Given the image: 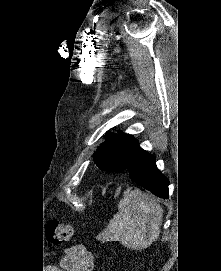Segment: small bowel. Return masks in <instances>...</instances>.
<instances>
[{
  "instance_id": "small-bowel-1",
  "label": "small bowel",
  "mask_w": 221,
  "mask_h": 271,
  "mask_svg": "<svg viewBox=\"0 0 221 271\" xmlns=\"http://www.w3.org/2000/svg\"><path fill=\"white\" fill-rule=\"evenodd\" d=\"M61 266L65 271H93L94 256L82 244L64 249Z\"/></svg>"
}]
</instances>
